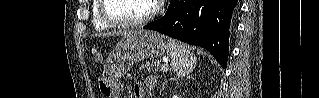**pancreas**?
Instances as JSON below:
<instances>
[{"mask_svg": "<svg viewBox=\"0 0 319 98\" xmlns=\"http://www.w3.org/2000/svg\"><path fill=\"white\" fill-rule=\"evenodd\" d=\"M140 68L146 69L148 72L154 74H157L161 71L158 62L156 61H146Z\"/></svg>", "mask_w": 319, "mask_h": 98, "instance_id": "1", "label": "pancreas"}]
</instances>
